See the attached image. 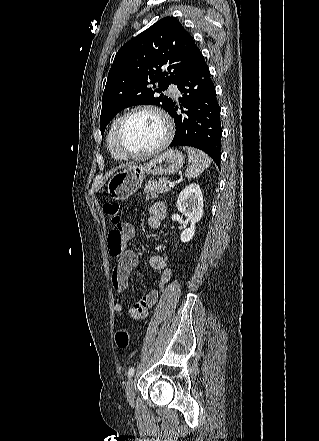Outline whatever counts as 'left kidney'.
I'll use <instances>...</instances> for the list:
<instances>
[{"label": "left kidney", "mask_w": 319, "mask_h": 441, "mask_svg": "<svg viewBox=\"0 0 319 441\" xmlns=\"http://www.w3.org/2000/svg\"><path fill=\"white\" fill-rule=\"evenodd\" d=\"M178 210L190 220L191 225L181 233V242H189L195 234V224L203 216V195L197 183L190 184L180 193L177 201Z\"/></svg>", "instance_id": "1"}]
</instances>
